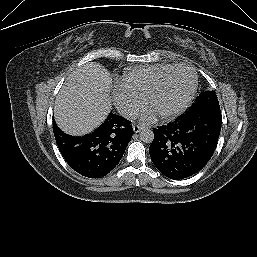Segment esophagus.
<instances>
[{
  "instance_id": "34e87169",
  "label": "esophagus",
  "mask_w": 257,
  "mask_h": 257,
  "mask_svg": "<svg viewBox=\"0 0 257 257\" xmlns=\"http://www.w3.org/2000/svg\"><path fill=\"white\" fill-rule=\"evenodd\" d=\"M142 127L140 125H134L133 126V131L135 133H139L141 131Z\"/></svg>"
}]
</instances>
